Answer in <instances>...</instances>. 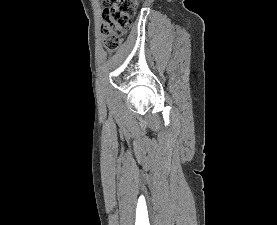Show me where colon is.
Segmentation results:
<instances>
[{
    "mask_svg": "<svg viewBox=\"0 0 277 225\" xmlns=\"http://www.w3.org/2000/svg\"><path fill=\"white\" fill-rule=\"evenodd\" d=\"M104 13L101 22L103 45L114 50L120 44L122 33L130 26L137 0H103Z\"/></svg>",
    "mask_w": 277,
    "mask_h": 225,
    "instance_id": "obj_1",
    "label": "colon"
}]
</instances>
